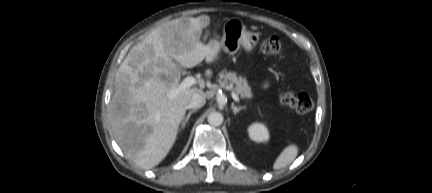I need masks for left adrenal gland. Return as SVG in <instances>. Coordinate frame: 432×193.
<instances>
[{
    "instance_id": "obj_1",
    "label": "left adrenal gland",
    "mask_w": 432,
    "mask_h": 193,
    "mask_svg": "<svg viewBox=\"0 0 432 193\" xmlns=\"http://www.w3.org/2000/svg\"><path fill=\"white\" fill-rule=\"evenodd\" d=\"M231 108L233 110L234 115H236L237 113H239L241 110L245 109V106H235L234 103H232Z\"/></svg>"
}]
</instances>
